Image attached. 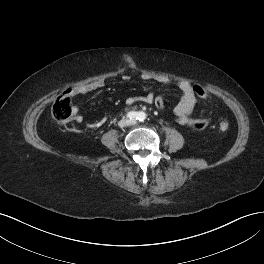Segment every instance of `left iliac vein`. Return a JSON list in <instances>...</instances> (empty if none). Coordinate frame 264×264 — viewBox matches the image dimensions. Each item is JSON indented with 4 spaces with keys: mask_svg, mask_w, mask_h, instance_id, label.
<instances>
[{
    "mask_svg": "<svg viewBox=\"0 0 264 264\" xmlns=\"http://www.w3.org/2000/svg\"><path fill=\"white\" fill-rule=\"evenodd\" d=\"M129 123H130V125H134V124H136V121L135 120H132Z\"/></svg>",
    "mask_w": 264,
    "mask_h": 264,
    "instance_id": "4c4485c4",
    "label": "left iliac vein"
}]
</instances>
